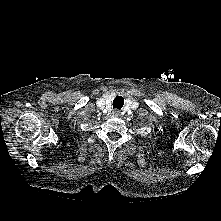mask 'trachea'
<instances>
[{
  "label": "trachea",
  "mask_w": 221,
  "mask_h": 221,
  "mask_svg": "<svg viewBox=\"0 0 221 221\" xmlns=\"http://www.w3.org/2000/svg\"><path fill=\"white\" fill-rule=\"evenodd\" d=\"M124 105V98L122 96H117L113 100V108L121 109Z\"/></svg>",
  "instance_id": "3493384b"
}]
</instances>
